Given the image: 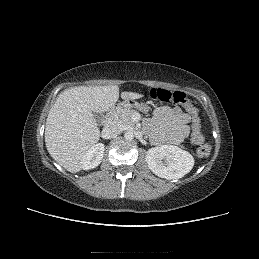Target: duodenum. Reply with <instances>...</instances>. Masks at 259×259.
Masks as SVG:
<instances>
[{
	"instance_id": "obj_1",
	"label": "duodenum",
	"mask_w": 259,
	"mask_h": 259,
	"mask_svg": "<svg viewBox=\"0 0 259 259\" xmlns=\"http://www.w3.org/2000/svg\"><path fill=\"white\" fill-rule=\"evenodd\" d=\"M123 106H124L123 104H117L108 112V114L104 119L105 127H108L112 124L116 111L122 108Z\"/></svg>"
}]
</instances>
